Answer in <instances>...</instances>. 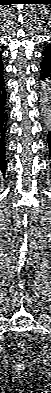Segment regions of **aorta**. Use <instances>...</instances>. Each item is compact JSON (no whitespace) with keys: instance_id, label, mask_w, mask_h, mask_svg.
<instances>
[{"instance_id":"1","label":"aorta","mask_w":51,"mask_h":393,"mask_svg":"<svg viewBox=\"0 0 51 393\" xmlns=\"http://www.w3.org/2000/svg\"><path fill=\"white\" fill-rule=\"evenodd\" d=\"M39 96L40 108L43 114L44 123L49 128L51 125V88L48 80L42 82Z\"/></svg>"}]
</instances>
